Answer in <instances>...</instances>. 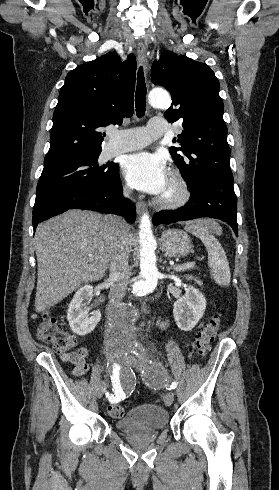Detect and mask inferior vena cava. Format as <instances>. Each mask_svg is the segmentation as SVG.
Segmentation results:
<instances>
[{
	"label": "inferior vena cava",
	"instance_id": "1",
	"mask_svg": "<svg viewBox=\"0 0 279 490\" xmlns=\"http://www.w3.org/2000/svg\"><path fill=\"white\" fill-rule=\"evenodd\" d=\"M123 194L125 198H128L130 192L124 190ZM110 224H115L117 228H125L126 226L124 220H121L118 216H110ZM128 234L129 232H121V230H118L120 242H116V248H114V254L109 266L110 276L108 282H110L111 286L108 296L107 320H111L113 316L118 314L131 274L128 264L129 252H126L125 248Z\"/></svg>",
	"mask_w": 279,
	"mask_h": 490
}]
</instances>
